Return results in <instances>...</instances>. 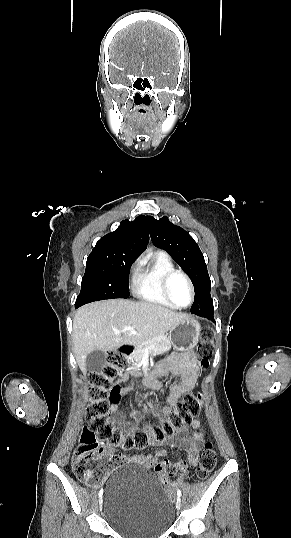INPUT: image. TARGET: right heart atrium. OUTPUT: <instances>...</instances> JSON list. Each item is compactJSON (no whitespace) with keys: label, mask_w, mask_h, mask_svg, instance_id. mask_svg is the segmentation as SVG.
I'll list each match as a JSON object with an SVG mask.
<instances>
[{"label":"right heart atrium","mask_w":291,"mask_h":538,"mask_svg":"<svg viewBox=\"0 0 291 538\" xmlns=\"http://www.w3.org/2000/svg\"><path fill=\"white\" fill-rule=\"evenodd\" d=\"M139 265H140L139 260H136V261L132 264L131 269H130L132 276L135 277L136 272H137V270H138V268H139Z\"/></svg>","instance_id":"1"}]
</instances>
